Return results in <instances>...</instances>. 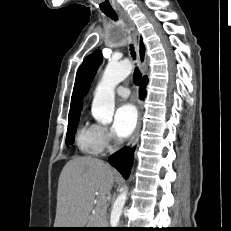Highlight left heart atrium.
<instances>
[{"label":"left heart atrium","instance_id":"left-heart-atrium-1","mask_svg":"<svg viewBox=\"0 0 231 231\" xmlns=\"http://www.w3.org/2000/svg\"><path fill=\"white\" fill-rule=\"evenodd\" d=\"M138 114L135 106L124 103L117 108L114 115L113 130L119 138H127L136 127Z\"/></svg>","mask_w":231,"mask_h":231}]
</instances>
